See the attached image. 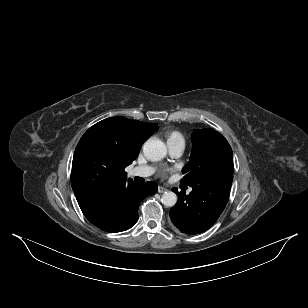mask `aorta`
I'll return each instance as SVG.
<instances>
[{
    "label": "aorta",
    "mask_w": 308,
    "mask_h": 308,
    "mask_svg": "<svg viewBox=\"0 0 308 308\" xmlns=\"http://www.w3.org/2000/svg\"><path fill=\"white\" fill-rule=\"evenodd\" d=\"M144 155L151 161L162 160L167 149L165 144L158 139H149L143 145ZM162 203L167 207H173L177 202V195L174 192L168 191L162 195Z\"/></svg>",
    "instance_id": "aorta-1"
}]
</instances>
